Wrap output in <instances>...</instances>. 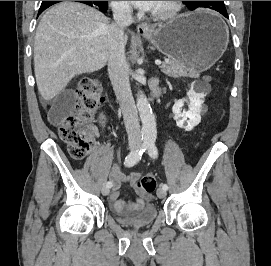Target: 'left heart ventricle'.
<instances>
[{"label":"left heart ventricle","mask_w":271,"mask_h":266,"mask_svg":"<svg viewBox=\"0 0 271 266\" xmlns=\"http://www.w3.org/2000/svg\"><path fill=\"white\" fill-rule=\"evenodd\" d=\"M165 2L166 1H159L156 7L153 10H161L165 7Z\"/></svg>","instance_id":"1"}]
</instances>
